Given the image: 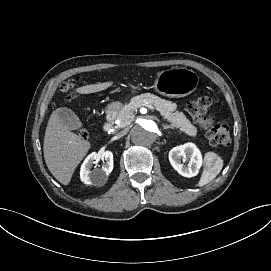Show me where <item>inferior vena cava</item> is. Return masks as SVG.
<instances>
[{
    "instance_id": "602c4592",
    "label": "inferior vena cava",
    "mask_w": 271,
    "mask_h": 271,
    "mask_svg": "<svg viewBox=\"0 0 271 271\" xmlns=\"http://www.w3.org/2000/svg\"><path fill=\"white\" fill-rule=\"evenodd\" d=\"M122 135H123V132H119V133H118V136H122Z\"/></svg>"
}]
</instances>
